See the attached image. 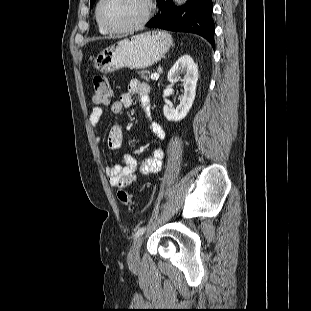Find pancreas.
I'll return each mask as SVG.
<instances>
[{
  "mask_svg": "<svg viewBox=\"0 0 311 311\" xmlns=\"http://www.w3.org/2000/svg\"><path fill=\"white\" fill-rule=\"evenodd\" d=\"M138 74L141 76L142 79H144L145 81H149V78H148V74H149V71L147 70H142L140 72H138Z\"/></svg>",
  "mask_w": 311,
  "mask_h": 311,
  "instance_id": "obj_1",
  "label": "pancreas"
}]
</instances>
